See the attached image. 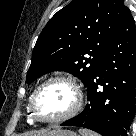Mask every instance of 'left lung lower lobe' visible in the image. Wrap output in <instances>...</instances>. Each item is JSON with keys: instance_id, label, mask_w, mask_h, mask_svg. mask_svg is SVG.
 Segmentation results:
<instances>
[{"instance_id": "left-lung-lower-lobe-1", "label": "left lung lower lobe", "mask_w": 136, "mask_h": 136, "mask_svg": "<svg viewBox=\"0 0 136 136\" xmlns=\"http://www.w3.org/2000/svg\"><path fill=\"white\" fill-rule=\"evenodd\" d=\"M87 93L84 111L61 125L102 136H128L136 111V31L130 11L108 44Z\"/></svg>"}]
</instances>
